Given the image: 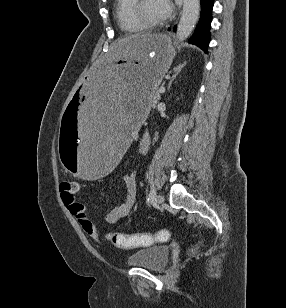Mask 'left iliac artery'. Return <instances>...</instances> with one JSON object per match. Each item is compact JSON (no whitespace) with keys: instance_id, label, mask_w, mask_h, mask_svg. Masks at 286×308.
Listing matches in <instances>:
<instances>
[{"instance_id":"left-iliac-artery-1","label":"left iliac artery","mask_w":286,"mask_h":308,"mask_svg":"<svg viewBox=\"0 0 286 308\" xmlns=\"http://www.w3.org/2000/svg\"><path fill=\"white\" fill-rule=\"evenodd\" d=\"M155 194H156L155 187L152 186V187H151V190H150V193H149V195H148V198H147V203H148V204H150V203L153 201V199H154V197H155Z\"/></svg>"}]
</instances>
